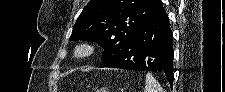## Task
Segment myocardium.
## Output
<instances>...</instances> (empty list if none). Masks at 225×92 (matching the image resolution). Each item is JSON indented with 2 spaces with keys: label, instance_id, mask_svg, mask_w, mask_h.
I'll list each match as a JSON object with an SVG mask.
<instances>
[{
  "label": "myocardium",
  "instance_id": "obj_1",
  "mask_svg": "<svg viewBox=\"0 0 225 92\" xmlns=\"http://www.w3.org/2000/svg\"><path fill=\"white\" fill-rule=\"evenodd\" d=\"M94 53V47L88 42H82L78 44L74 49L75 58L78 61H84L92 56Z\"/></svg>",
  "mask_w": 225,
  "mask_h": 92
}]
</instances>
